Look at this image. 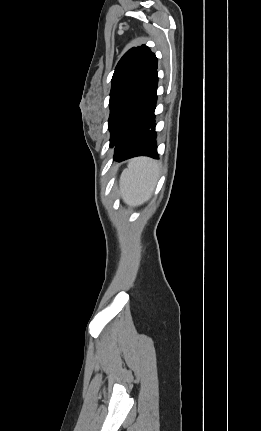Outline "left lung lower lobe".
Listing matches in <instances>:
<instances>
[{"instance_id":"obj_1","label":"left lung lower lobe","mask_w":261,"mask_h":431,"mask_svg":"<svg viewBox=\"0 0 261 431\" xmlns=\"http://www.w3.org/2000/svg\"><path fill=\"white\" fill-rule=\"evenodd\" d=\"M157 84L156 70L128 106L114 143V160L122 161L136 156L158 158L154 130Z\"/></svg>"}]
</instances>
